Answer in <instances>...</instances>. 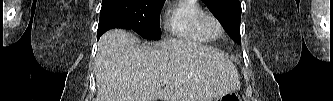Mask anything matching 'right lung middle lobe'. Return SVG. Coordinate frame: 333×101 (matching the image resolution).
Instances as JSON below:
<instances>
[{
    "mask_svg": "<svg viewBox=\"0 0 333 101\" xmlns=\"http://www.w3.org/2000/svg\"><path fill=\"white\" fill-rule=\"evenodd\" d=\"M165 0H102V8L116 10L131 29L145 39L159 40V12Z\"/></svg>",
    "mask_w": 333,
    "mask_h": 101,
    "instance_id": "right-lung-middle-lobe-1",
    "label": "right lung middle lobe"
}]
</instances>
